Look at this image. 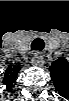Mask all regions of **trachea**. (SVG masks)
I'll list each match as a JSON object with an SVG mask.
<instances>
[{"label":"trachea","instance_id":"obj_1","mask_svg":"<svg viewBox=\"0 0 69 101\" xmlns=\"http://www.w3.org/2000/svg\"><path fill=\"white\" fill-rule=\"evenodd\" d=\"M31 48L34 51H42L44 48V41L40 38H36L32 44H31Z\"/></svg>","mask_w":69,"mask_h":101}]
</instances>
